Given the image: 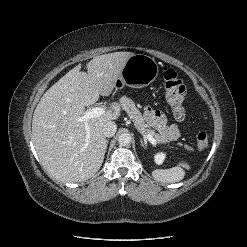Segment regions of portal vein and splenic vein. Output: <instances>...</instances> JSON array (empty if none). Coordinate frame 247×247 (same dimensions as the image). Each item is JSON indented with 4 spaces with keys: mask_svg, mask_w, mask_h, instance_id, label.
Instances as JSON below:
<instances>
[{
    "mask_svg": "<svg viewBox=\"0 0 247 247\" xmlns=\"http://www.w3.org/2000/svg\"><path fill=\"white\" fill-rule=\"evenodd\" d=\"M105 113V108L103 107H94L87 111L83 116L79 117L77 120L79 122L85 123V129L87 131V138H89V127H88V120L91 118L99 117ZM145 138L153 145L156 144V140L153 138L152 135L146 133Z\"/></svg>",
    "mask_w": 247,
    "mask_h": 247,
    "instance_id": "obj_1",
    "label": "portal vein and splenic vein"
}]
</instances>
